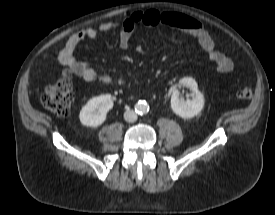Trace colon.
Returning a JSON list of instances; mask_svg holds the SVG:
<instances>
[{
  "instance_id": "5ec220e1",
  "label": "colon",
  "mask_w": 275,
  "mask_h": 215,
  "mask_svg": "<svg viewBox=\"0 0 275 215\" xmlns=\"http://www.w3.org/2000/svg\"><path fill=\"white\" fill-rule=\"evenodd\" d=\"M252 94L249 87H242L237 91V97L243 100L250 99ZM73 102L74 94L68 72H64L56 83L46 86L42 94L43 106L59 117L69 116Z\"/></svg>"
}]
</instances>
